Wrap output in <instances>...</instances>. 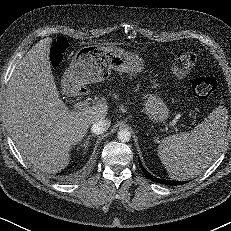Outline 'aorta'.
Wrapping results in <instances>:
<instances>
[{
  "mask_svg": "<svg viewBox=\"0 0 231 231\" xmlns=\"http://www.w3.org/2000/svg\"><path fill=\"white\" fill-rule=\"evenodd\" d=\"M117 138L121 142H128L130 140V138H131V133L127 129H121L117 133Z\"/></svg>",
  "mask_w": 231,
  "mask_h": 231,
  "instance_id": "obj_1",
  "label": "aorta"
}]
</instances>
